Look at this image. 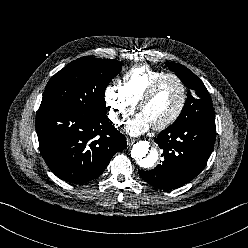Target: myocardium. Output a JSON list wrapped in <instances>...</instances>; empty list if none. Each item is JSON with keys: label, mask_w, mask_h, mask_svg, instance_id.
Instances as JSON below:
<instances>
[{"label": "myocardium", "mask_w": 248, "mask_h": 248, "mask_svg": "<svg viewBox=\"0 0 248 248\" xmlns=\"http://www.w3.org/2000/svg\"><path fill=\"white\" fill-rule=\"evenodd\" d=\"M166 78H173L175 79L179 86H180V90H181V99H180V103L179 106L177 107V109L175 110V112L169 116L167 119H165L164 121H162L159 124L156 125H152V128L154 130H163L165 128H167L168 126H170L171 124H173L182 114L185 105H186V101H187V89L185 86V83L183 82V80L176 74L174 73H164L162 75H160L159 77H157L147 88V90L144 92V94L142 95V97L140 98L139 102H138V109L139 111H141V109L143 108V106L150 101V99L154 96V94L156 93L159 85L161 84V82L163 80H165Z\"/></svg>", "instance_id": "myocardium-1"}]
</instances>
